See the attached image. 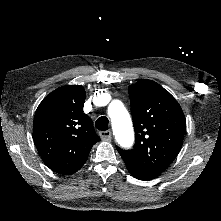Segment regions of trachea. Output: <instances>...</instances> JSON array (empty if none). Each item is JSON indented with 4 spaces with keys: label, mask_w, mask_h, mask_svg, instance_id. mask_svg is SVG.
<instances>
[{
    "label": "trachea",
    "mask_w": 221,
    "mask_h": 221,
    "mask_svg": "<svg viewBox=\"0 0 221 221\" xmlns=\"http://www.w3.org/2000/svg\"><path fill=\"white\" fill-rule=\"evenodd\" d=\"M108 126H109V120L105 116L99 117L95 122V127L101 131L108 130Z\"/></svg>",
    "instance_id": "trachea-1"
}]
</instances>
